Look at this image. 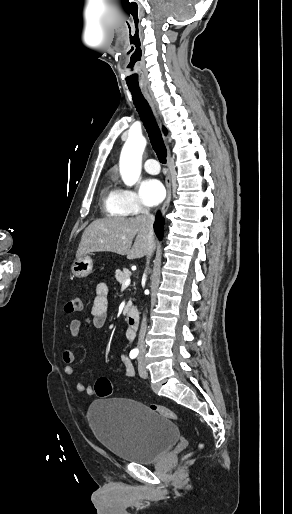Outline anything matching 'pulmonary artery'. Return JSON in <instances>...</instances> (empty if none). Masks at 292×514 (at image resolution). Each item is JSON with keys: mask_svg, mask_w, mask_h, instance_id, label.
Returning <instances> with one entry per match:
<instances>
[{"mask_svg": "<svg viewBox=\"0 0 292 514\" xmlns=\"http://www.w3.org/2000/svg\"><path fill=\"white\" fill-rule=\"evenodd\" d=\"M147 162L148 163L146 164V171L150 174L157 173V170L159 169L157 158L153 156L149 157Z\"/></svg>", "mask_w": 292, "mask_h": 514, "instance_id": "pulmonary-artery-1", "label": "pulmonary artery"}]
</instances>
